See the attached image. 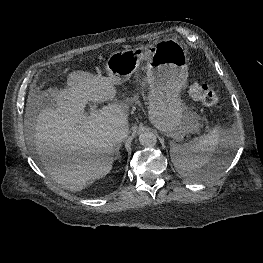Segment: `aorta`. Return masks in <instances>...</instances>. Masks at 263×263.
Segmentation results:
<instances>
[{"label": "aorta", "mask_w": 263, "mask_h": 263, "mask_svg": "<svg viewBox=\"0 0 263 263\" xmlns=\"http://www.w3.org/2000/svg\"><path fill=\"white\" fill-rule=\"evenodd\" d=\"M140 144L144 147H154L157 143L156 135L151 131H143L139 135Z\"/></svg>", "instance_id": "obj_1"}]
</instances>
